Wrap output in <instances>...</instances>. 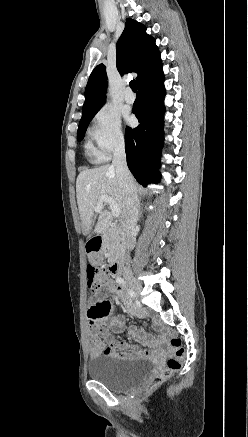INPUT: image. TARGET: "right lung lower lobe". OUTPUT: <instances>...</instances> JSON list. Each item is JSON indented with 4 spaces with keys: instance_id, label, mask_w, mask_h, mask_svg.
Wrapping results in <instances>:
<instances>
[{
    "instance_id": "98d812e1",
    "label": "right lung lower lobe",
    "mask_w": 248,
    "mask_h": 437,
    "mask_svg": "<svg viewBox=\"0 0 248 437\" xmlns=\"http://www.w3.org/2000/svg\"><path fill=\"white\" fill-rule=\"evenodd\" d=\"M164 79L160 63L137 84L132 112L140 125L134 129L126 127L125 132L127 165L143 186L160 180L158 150L163 145Z\"/></svg>"
}]
</instances>
